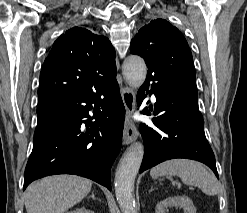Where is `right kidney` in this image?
<instances>
[{
	"label": "right kidney",
	"instance_id": "ca27d5eb",
	"mask_svg": "<svg viewBox=\"0 0 247 213\" xmlns=\"http://www.w3.org/2000/svg\"><path fill=\"white\" fill-rule=\"evenodd\" d=\"M67 213H94V212L86 209L85 207H79V208H76L75 210L69 211Z\"/></svg>",
	"mask_w": 247,
	"mask_h": 213
}]
</instances>
